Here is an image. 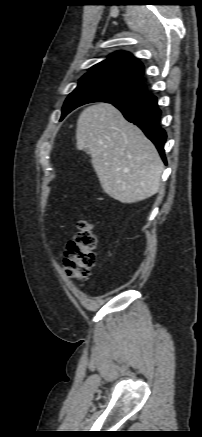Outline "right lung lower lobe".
Returning a JSON list of instances; mask_svg holds the SVG:
<instances>
[{
    "label": "right lung lower lobe",
    "mask_w": 202,
    "mask_h": 437,
    "mask_svg": "<svg viewBox=\"0 0 202 437\" xmlns=\"http://www.w3.org/2000/svg\"><path fill=\"white\" fill-rule=\"evenodd\" d=\"M110 103L117 107L128 121L142 129L155 144L166 163L163 145L167 136L164 129L159 126L161 111L158 108L157 98L151 93H145L132 99H122Z\"/></svg>",
    "instance_id": "98d812e1"
}]
</instances>
